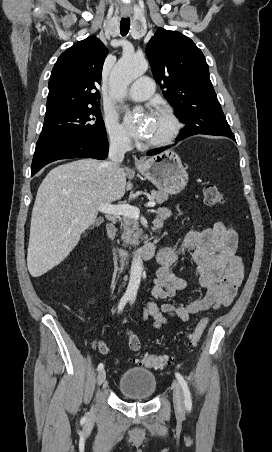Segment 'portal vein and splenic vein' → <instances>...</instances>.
I'll return each mask as SVG.
<instances>
[{
	"instance_id": "1",
	"label": "portal vein and splenic vein",
	"mask_w": 272,
	"mask_h": 452,
	"mask_svg": "<svg viewBox=\"0 0 272 452\" xmlns=\"http://www.w3.org/2000/svg\"><path fill=\"white\" fill-rule=\"evenodd\" d=\"M155 205H156L155 201H149L145 206L154 207ZM98 210L105 214L122 215L132 218H138L140 215L139 208L129 204L121 205L101 204L98 207Z\"/></svg>"
}]
</instances>
